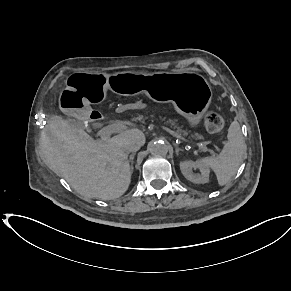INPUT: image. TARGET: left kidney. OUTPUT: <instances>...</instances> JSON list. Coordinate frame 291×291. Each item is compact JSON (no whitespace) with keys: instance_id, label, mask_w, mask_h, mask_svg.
<instances>
[{"instance_id":"5707ae66","label":"left kidney","mask_w":291,"mask_h":291,"mask_svg":"<svg viewBox=\"0 0 291 291\" xmlns=\"http://www.w3.org/2000/svg\"><path fill=\"white\" fill-rule=\"evenodd\" d=\"M197 168L199 169L200 173L194 174L193 169ZM180 170L184 177L193 183L205 184L209 181L210 170L206 165L201 163V161H183L180 163Z\"/></svg>"}]
</instances>
